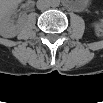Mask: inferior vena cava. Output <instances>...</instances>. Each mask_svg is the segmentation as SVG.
Returning a JSON list of instances; mask_svg holds the SVG:
<instances>
[{
    "label": "inferior vena cava",
    "mask_w": 103,
    "mask_h": 103,
    "mask_svg": "<svg viewBox=\"0 0 103 103\" xmlns=\"http://www.w3.org/2000/svg\"><path fill=\"white\" fill-rule=\"evenodd\" d=\"M50 6L49 2L47 0H38L37 1V8L39 10H46Z\"/></svg>",
    "instance_id": "inferior-vena-cava-1"
}]
</instances>
